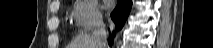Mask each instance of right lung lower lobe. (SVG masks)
Here are the masks:
<instances>
[{"instance_id": "98d812e1", "label": "right lung lower lobe", "mask_w": 213, "mask_h": 48, "mask_svg": "<svg viewBox=\"0 0 213 48\" xmlns=\"http://www.w3.org/2000/svg\"><path fill=\"white\" fill-rule=\"evenodd\" d=\"M131 5V0H117V6L111 13V18L115 23L116 29H121L123 27L131 9ZM112 42L113 39L110 37L109 45H111Z\"/></svg>"}]
</instances>
